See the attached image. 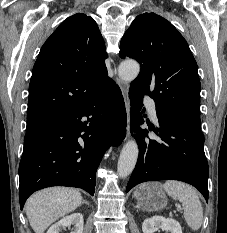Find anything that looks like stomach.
<instances>
[{
  "instance_id": "stomach-1",
  "label": "stomach",
  "mask_w": 227,
  "mask_h": 233,
  "mask_svg": "<svg viewBox=\"0 0 227 233\" xmlns=\"http://www.w3.org/2000/svg\"><path fill=\"white\" fill-rule=\"evenodd\" d=\"M134 197L144 211L162 210L167 205L166 194L158 183L141 185L134 191Z\"/></svg>"
}]
</instances>
